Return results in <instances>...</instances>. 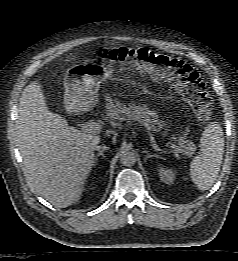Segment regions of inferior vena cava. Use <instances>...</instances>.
Segmentation results:
<instances>
[{"instance_id":"602c4592","label":"inferior vena cava","mask_w":238,"mask_h":261,"mask_svg":"<svg viewBox=\"0 0 238 261\" xmlns=\"http://www.w3.org/2000/svg\"><path fill=\"white\" fill-rule=\"evenodd\" d=\"M100 149H101V146H98V145L94 146V150H100Z\"/></svg>"}]
</instances>
